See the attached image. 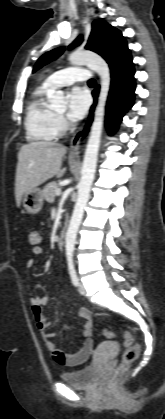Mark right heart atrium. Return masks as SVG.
Wrapping results in <instances>:
<instances>
[{
    "label": "right heart atrium",
    "mask_w": 165,
    "mask_h": 419,
    "mask_svg": "<svg viewBox=\"0 0 165 419\" xmlns=\"http://www.w3.org/2000/svg\"><path fill=\"white\" fill-rule=\"evenodd\" d=\"M55 120L59 133H62L65 130H67L69 123L62 114H56Z\"/></svg>",
    "instance_id": "right-heart-atrium-1"
}]
</instances>
